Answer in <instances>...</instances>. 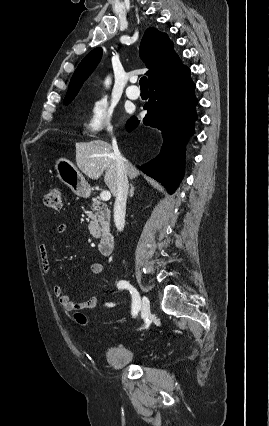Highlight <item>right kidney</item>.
<instances>
[{
  "label": "right kidney",
  "mask_w": 269,
  "mask_h": 426,
  "mask_svg": "<svg viewBox=\"0 0 269 426\" xmlns=\"http://www.w3.org/2000/svg\"><path fill=\"white\" fill-rule=\"evenodd\" d=\"M107 308H108V309H112V308H113V305H112V304H108V305H107Z\"/></svg>",
  "instance_id": "right-kidney-1"
}]
</instances>
